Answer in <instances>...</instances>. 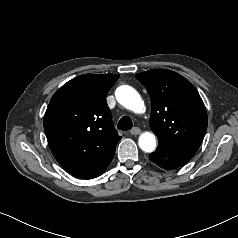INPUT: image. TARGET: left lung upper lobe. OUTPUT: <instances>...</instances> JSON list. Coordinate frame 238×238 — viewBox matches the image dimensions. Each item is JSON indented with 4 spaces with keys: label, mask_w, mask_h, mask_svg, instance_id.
Returning <instances> with one entry per match:
<instances>
[{
    "label": "left lung upper lobe",
    "mask_w": 238,
    "mask_h": 238,
    "mask_svg": "<svg viewBox=\"0 0 238 238\" xmlns=\"http://www.w3.org/2000/svg\"><path fill=\"white\" fill-rule=\"evenodd\" d=\"M151 99L149 125L159 145L195 154L207 129V112L195 87L183 76L165 69L135 75Z\"/></svg>",
    "instance_id": "obj_1"
}]
</instances>
